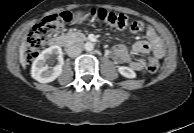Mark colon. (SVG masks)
Here are the masks:
<instances>
[{
	"instance_id": "obj_1",
	"label": "colon",
	"mask_w": 194,
	"mask_h": 133,
	"mask_svg": "<svg viewBox=\"0 0 194 133\" xmlns=\"http://www.w3.org/2000/svg\"><path fill=\"white\" fill-rule=\"evenodd\" d=\"M93 17L101 22L121 30L130 29L133 24L126 15L109 12L104 9H93ZM71 20L68 12L46 17L37 24L29 34L25 44V58L28 63L32 62L40 52L46 47L50 40L61 30V28ZM159 63L151 60L147 65V71L151 74L157 72Z\"/></svg>"
}]
</instances>
